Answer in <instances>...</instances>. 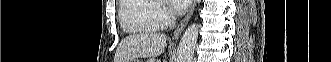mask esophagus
Listing matches in <instances>:
<instances>
[{"instance_id":"34e87169","label":"esophagus","mask_w":331,"mask_h":62,"mask_svg":"<svg viewBox=\"0 0 331 62\" xmlns=\"http://www.w3.org/2000/svg\"><path fill=\"white\" fill-rule=\"evenodd\" d=\"M196 3H197V0H193L192 1V5H191L188 13L186 14V16L184 17V19L179 23V25L177 26L176 30L174 31L173 39H177L182 34L184 28L186 27L187 23L189 22L192 14H193V11L195 9Z\"/></svg>"}]
</instances>
